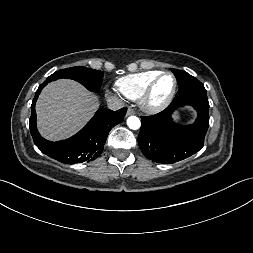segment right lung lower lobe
Masks as SVG:
<instances>
[{"label": "right lung lower lobe", "instance_id": "98d812e1", "mask_svg": "<svg viewBox=\"0 0 253 253\" xmlns=\"http://www.w3.org/2000/svg\"><path fill=\"white\" fill-rule=\"evenodd\" d=\"M48 82L46 80L38 87L31 105L30 132L35 145L42 153L65 164L94 160L102 153L109 131L124 120L127 108L124 107L117 111L99 109L76 135L63 141L50 142L40 136L36 128L35 112L36 100Z\"/></svg>", "mask_w": 253, "mask_h": 253}]
</instances>
